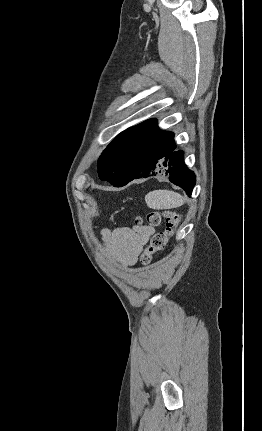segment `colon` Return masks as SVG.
Returning a JSON list of instances; mask_svg holds the SVG:
<instances>
[{"label": "colon", "mask_w": 262, "mask_h": 431, "mask_svg": "<svg viewBox=\"0 0 262 431\" xmlns=\"http://www.w3.org/2000/svg\"><path fill=\"white\" fill-rule=\"evenodd\" d=\"M145 222L149 226L157 227L164 220L166 228L156 232L151 238L150 245L142 252L141 260L143 263H150L154 254L162 252L179 223V216L172 211H151L145 216Z\"/></svg>", "instance_id": "colon-1"}]
</instances>
